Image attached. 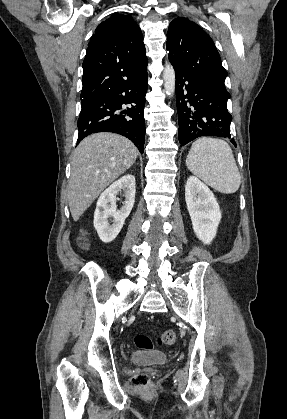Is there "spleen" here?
Segmentation results:
<instances>
[{"label": "spleen", "mask_w": 287, "mask_h": 419, "mask_svg": "<svg viewBox=\"0 0 287 419\" xmlns=\"http://www.w3.org/2000/svg\"><path fill=\"white\" fill-rule=\"evenodd\" d=\"M187 168L206 184L223 194L235 193L241 176L227 142L218 138L197 139L187 155Z\"/></svg>", "instance_id": "obj_1"}]
</instances>
